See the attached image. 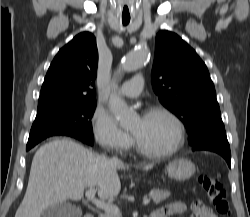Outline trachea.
Listing matches in <instances>:
<instances>
[{
  "label": "trachea",
  "mask_w": 250,
  "mask_h": 217,
  "mask_svg": "<svg viewBox=\"0 0 250 217\" xmlns=\"http://www.w3.org/2000/svg\"><path fill=\"white\" fill-rule=\"evenodd\" d=\"M129 21H130L129 19H123L122 23L124 26H126L129 23Z\"/></svg>",
  "instance_id": "trachea-1"
}]
</instances>
